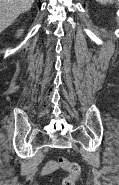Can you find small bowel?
<instances>
[{"label":"small bowel","instance_id":"c3829d8e","mask_svg":"<svg viewBox=\"0 0 119 185\" xmlns=\"http://www.w3.org/2000/svg\"><path fill=\"white\" fill-rule=\"evenodd\" d=\"M59 169V164L57 161L55 160H49L43 170H42V174L43 175H51L53 174L55 171H57Z\"/></svg>","mask_w":119,"mask_h":185}]
</instances>
